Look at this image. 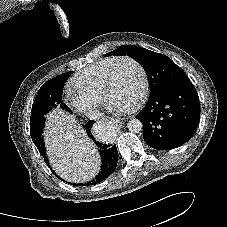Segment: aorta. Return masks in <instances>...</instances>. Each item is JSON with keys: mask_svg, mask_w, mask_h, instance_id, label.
<instances>
[{"mask_svg": "<svg viewBox=\"0 0 227 227\" xmlns=\"http://www.w3.org/2000/svg\"><path fill=\"white\" fill-rule=\"evenodd\" d=\"M109 127L111 128L112 126L109 125ZM127 127L131 133H139L143 128V124L140 120L133 118L127 123Z\"/></svg>", "mask_w": 227, "mask_h": 227, "instance_id": "obj_1", "label": "aorta"}]
</instances>
